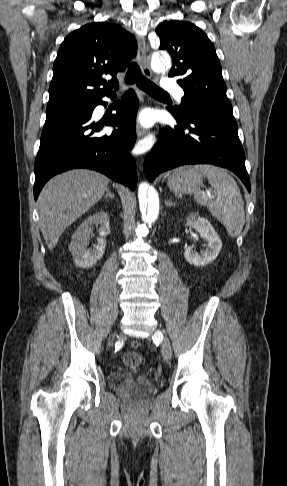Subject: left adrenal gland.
Returning a JSON list of instances; mask_svg holds the SVG:
<instances>
[{
  "instance_id": "obj_1",
  "label": "left adrenal gland",
  "mask_w": 287,
  "mask_h": 486,
  "mask_svg": "<svg viewBox=\"0 0 287 486\" xmlns=\"http://www.w3.org/2000/svg\"><path fill=\"white\" fill-rule=\"evenodd\" d=\"M166 207L176 206V203L172 202L171 200H165Z\"/></svg>"
}]
</instances>
